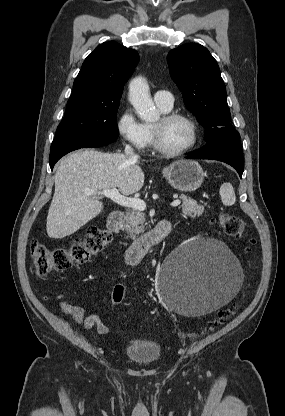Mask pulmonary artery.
<instances>
[{
    "label": "pulmonary artery",
    "mask_w": 285,
    "mask_h": 416,
    "mask_svg": "<svg viewBox=\"0 0 285 416\" xmlns=\"http://www.w3.org/2000/svg\"><path fill=\"white\" fill-rule=\"evenodd\" d=\"M154 99L156 103L164 109L169 110L173 107V97L170 92L166 91L165 89L156 91L154 94Z\"/></svg>",
    "instance_id": "pulmonary-artery-1"
}]
</instances>
